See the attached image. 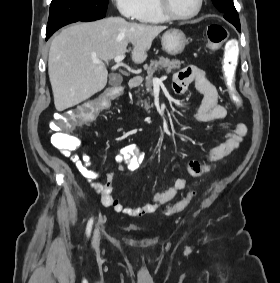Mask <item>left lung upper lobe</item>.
Listing matches in <instances>:
<instances>
[{
    "label": "left lung upper lobe",
    "instance_id": "left-lung-upper-lobe-1",
    "mask_svg": "<svg viewBox=\"0 0 280 283\" xmlns=\"http://www.w3.org/2000/svg\"><path fill=\"white\" fill-rule=\"evenodd\" d=\"M212 2L220 12L224 13L227 21L240 25L239 15L232 0H212Z\"/></svg>",
    "mask_w": 280,
    "mask_h": 283
}]
</instances>
